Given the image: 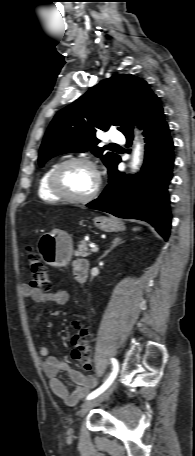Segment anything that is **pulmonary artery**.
<instances>
[{"mask_svg":"<svg viewBox=\"0 0 195 456\" xmlns=\"http://www.w3.org/2000/svg\"><path fill=\"white\" fill-rule=\"evenodd\" d=\"M108 139L112 142H123L124 136L121 132L117 130H111L108 134Z\"/></svg>","mask_w":195,"mask_h":456,"instance_id":"1","label":"pulmonary artery"}]
</instances>
